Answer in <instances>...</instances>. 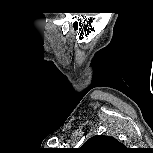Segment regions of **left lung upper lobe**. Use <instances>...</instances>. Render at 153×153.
I'll use <instances>...</instances> for the list:
<instances>
[{
	"mask_svg": "<svg viewBox=\"0 0 153 153\" xmlns=\"http://www.w3.org/2000/svg\"><path fill=\"white\" fill-rule=\"evenodd\" d=\"M123 148V145L113 137L94 136L83 144L81 150L85 153H110Z\"/></svg>",
	"mask_w": 153,
	"mask_h": 153,
	"instance_id": "1",
	"label": "left lung upper lobe"
}]
</instances>
